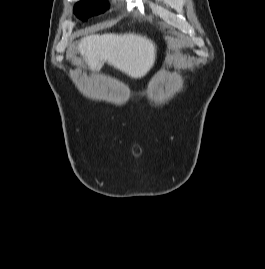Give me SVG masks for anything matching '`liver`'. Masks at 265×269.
<instances>
[{
	"mask_svg": "<svg viewBox=\"0 0 265 269\" xmlns=\"http://www.w3.org/2000/svg\"><path fill=\"white\" fill-rule=\"evenodd\" d=\"M78 51L91 71L98 72L107 62L135 79L147 74L156 57L153 41L135 33L85 36L78 44Z\"/></svg>",
	"mask_w": 265,
	"mask_h": 269,
	"instance_id": "1",
	"label": "liver"
}]
</instances>
